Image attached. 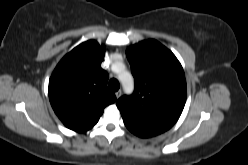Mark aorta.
<instances>
[{
  "label": "aorta",
  "mask_w": 248,
  "mask_h": 165,
  "mask_svg": "<svg viewBox=\"0 0 248 165\" xmlns=\"http://www.w3.org/2000/svg\"><path fill=\"white\" fill-rule=\"evenodd\" d=\"M118 66L124 68V65L122 63H119ZM119 80L121 81L126 93H131L133 91L134 81L132 75L129 72L123 70L119 74Z\"/></svg>",
  "instance_id": "aorta-1"
}]
</instances>
